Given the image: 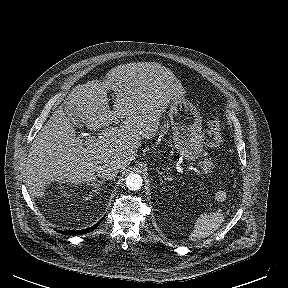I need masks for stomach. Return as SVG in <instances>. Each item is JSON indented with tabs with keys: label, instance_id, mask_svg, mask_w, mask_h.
Returning <instances> with one entry per match:
<instances>
[{
	"label": "stomach",
	"instance_id": "0dacf381",
	"mask_svg": "<svg viewBox=\"0 0 288 288\" xmlns=\"http://www.w3.org/2000/svg\"><path fill=\"white\" fill-rule=\"evenodd\" d=\"M168 116L175 149L186 160H196L203 152L200 113L181 95L171 101Z\"/></svg>",
	"mask_w": 288,
	"mask_h": 288
}]
</instances>
